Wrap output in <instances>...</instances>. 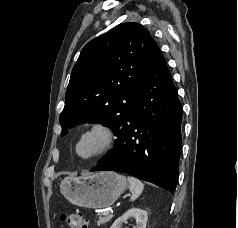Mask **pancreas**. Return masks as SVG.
I'll return each instance as SVG.
<instances>
[{
    "instance_id": "cf45deb5",
    "label": "pancreas",
    "mask_w": 238,
    "mask_h": 228,
    "mask_svg": "<svg viewBox=\"0 0 238 228\" xmlns=\"http://www.w3.org/2000/svg\"><path fill=\"white\" fill-rule=\"evenodd\" d=\"M112 218V215L110 214H107V215H104L103 217H99L98 220H97V225L100 226V225H103L107 222H109Z\"/></svg>"
}]
</instances>
